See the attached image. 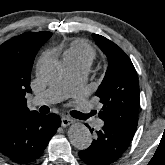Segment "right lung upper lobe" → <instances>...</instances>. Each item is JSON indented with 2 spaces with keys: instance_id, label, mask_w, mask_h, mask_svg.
Returning a JSON list of instances; mask_svg holds the SVG:
<instances>
[{
  "instance_id": "cb5924a9",
  "label": "right lung upper lobe",
  "mask_w": 165,
  "mask_h": 165,
  "mask_svg": "<svg viewBox=\"0 0 165 165\" xmlns=\"http://www.w3.org/2000/svg\"><path fill=\"white\" fill-rule=\"evenodd\" d=\"M52 36L51 32H30L0 45V130L37 111L27 108L30 77L35 56Z\"/></svg>"
}]
</instances>
